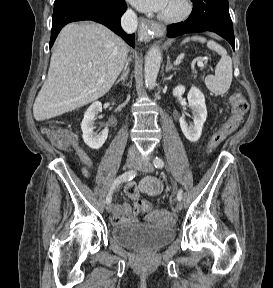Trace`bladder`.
Listing matches in <instances>:
<instances>
[{
  "mask_svg": "<svg viewBox=\"0 0 273 288\" xmlns=\"http://www.w3.org/2000/svg\"><path fill=\"white\" fill-rule=\"evenodd\" d=\"M112 241L121 248L150 252L163 248L175 239L173 228L146 223L117 224L111 230Z\"/></svg>",
  "mask_w": 273,
  "mask_h": 288,
  "instance_id": "obj_1",
  "label": "bladder"
}]
</instances>
